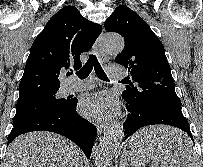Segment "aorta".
Returning a JSON list of instances; mask_svg holds the SVG:
<instances>
[{
	"instance_id": "762f6f07",
	"label": "aorta",
	"mask_w": 203,
	"mask_h": 167,
	"mask_svg": "<svg viewBox=\"0 0 203 167\" xmlns=\"http://www.w3.org/2000/svg\"><path fill=\"white\" fill-rule=\"evenodd\" d=\"M102 48L110 54H118L124 48V40L118 34H106L102 39ZM124 137L123 127L115 125L100 140L95 151L96 167H107Z\"/></svg>"
}]
</instances>
